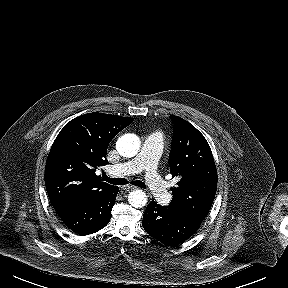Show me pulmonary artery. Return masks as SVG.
I'll use <instances>...</instances> for the list:
<instances>
[{
    "mask_svg": "<svg viewBox=\"0 0 288 288\" xmlns=\"http://www.w3.org/2000/svg\"><path fill=\"white\" fill-rule=\"evenodd\" d=\"M164 138L162 133L154 132L146 137L139 154L132 160L115 164L111 172L115 175L145 173V183L158 203L169 202L171 194L165 181L158 173V162L162 154Z\"/></svg>",
    "mask_w": 288,
    "mask_h": 288,
    "instance_id": "e3ab8cb5",
    "label": "pulmonary artery"
}]
</instances>
